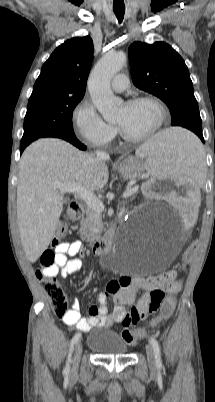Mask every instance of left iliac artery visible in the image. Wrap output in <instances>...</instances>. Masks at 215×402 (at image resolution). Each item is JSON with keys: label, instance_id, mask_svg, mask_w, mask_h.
<instances>
[{"label": "left iliac artery", "instance_id": "44dca946", "mask_svg": "<svg viewBox=\"0 0 215 402\" xmlns=\"http://www.w3.org/2000/svg\"><path fill=\"white\" fill-rule=\"evenodd\" d=\"M150 344L152 345L153 350H154L156 366H157V368H161L162 367V361H161V354H160L159 344H158L157 340L155 338H153V337L150 338Z\"/></svg>", "mask_w": 215, "mask_h": 402}]
</instances>
